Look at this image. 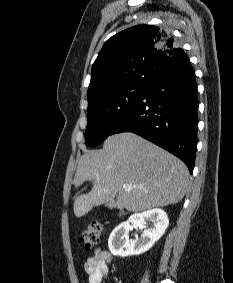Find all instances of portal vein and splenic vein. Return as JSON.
<instances>
[{
    "mask_svg": "<svg viewBox=\"0 0 233 283\" xmlns=\"http://www.w3.org/2000/svg\"><path fill=\"white\" fill-rule=\"evenodd\" d=\"M125 188L132 189L133 187L141 188V186H133L132 184H125Z\"/></svg>",
    "mask_w": 233,
    "mask_h": 283,
    "instance_id": "portal-vein-and-splenic-vein-1",
    "label": "portal vein and splenic vein"
}]
</instances>
